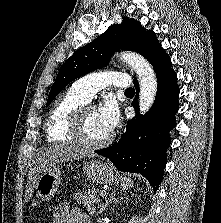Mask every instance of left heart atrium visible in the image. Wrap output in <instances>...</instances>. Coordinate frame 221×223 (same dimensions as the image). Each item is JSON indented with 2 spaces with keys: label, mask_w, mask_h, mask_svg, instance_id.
Instances as JSON below:
<instances>
[{
  "label": "left heart atrium",
  "mask_w": 221,
  "mask_h": 223,
  "mask_svg": "<svg viewBox=\"0 0 221 223\" xmlns=\"http://www.w3.org/2000/svg\"><path fill=\"white\" fill-rule=\"evenodd\" d=\"M97 115L104 129L111 133L119 123L120 112L117 103L112 98H107L97 109Z\"/></svg>",
  "instance_id": "left-heart-atrium-1"
}]
</instances>
